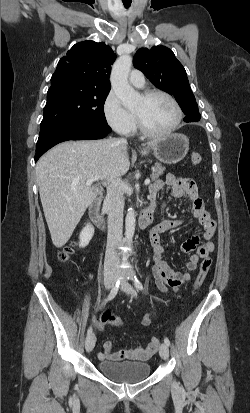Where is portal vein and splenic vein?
Here are the masks:
<instances>
[{"label":"portal vein and splenic vein","mask_w":250,"mask_h":413,"mask_svg":"<svg viewBox=\"0 0 250 413\" xmlns=\"http://www.w3.org/2000/svg\"><path fill=\"white\" fill-rule=\"evenodd\" d=\"M99 178H100V176H96V177H94V178L88 179V180L86 181V186H91V184H92L94 181L98 180ZM144 184H145L146 186L149 185V184H150V179H146L145 182H144Z\"/></svg>","instance_id":"portal-vein-and-splenic-vein-1"}]
</instances>
